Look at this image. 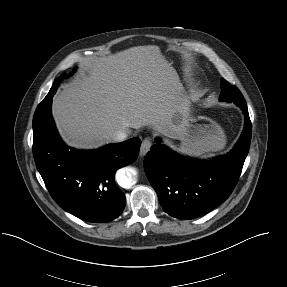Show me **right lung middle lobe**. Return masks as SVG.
<instances>
[{
	"instance_id": "obj_1",
	"label": "right lung middle lobe",
	"mask_w": 287,
	"mask_h": 287,
	"mask_svg": "<svg viewBox=\"0 0 287 287\" xmlns=\"http://www.w3.org/2000/svg\"><path fill=\"white\" fill-rule=\"evenodd\" d=\"M73 72H74V71H73ZM73 72H72L71 74H73ZM66 77H67V75H66V74H63V75H61L58 79H56V80L54 81V83H53V85H52V88L50 89V91H49L48 94L54 93V92L56 91V89H57L59 83H60L63 79H65Z\"/></svg>"
}]
</instances>
